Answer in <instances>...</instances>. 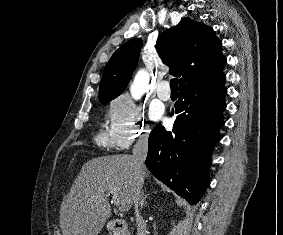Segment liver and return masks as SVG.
I'll list each match as a JSON object with an SVG mask.
<instances>
[{"instance_id":"obj_1","label":"liver","mask_w":283,"mask_h":235,"mask_svg":"<svg viewBox=\"0 0 283 235\" xmlns=\"http://www.w3.org/2000/svg\"><path fill=\"white\" fill-rule=\"evenodd\" d=\"M144 178H149L147 170ZM110 187L117 189L123 211H129L136 187L131 155L97 157L83 165L60 208L62 234L98 235L111 215Z\"/></svg>"}]
</instances>
